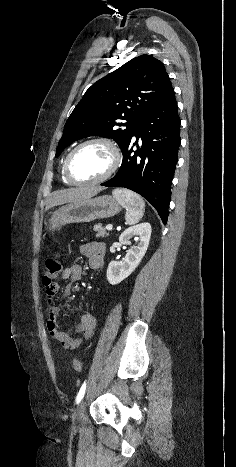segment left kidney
<instances>
[{
  "instance_id": "5707ae66",
  "label": "left kidney",
  "mask_w": 236,
  "mask_h": 467,
  "mask_svg": "<svg viewBox=\"0 0 236 467\" xmlns=\"http://www.w3.org/2000/svg\"><path fill=\"white\" fill-rule=\"evenodd\" d=\"M151 236V225L147 222L126 229L119 237L122 245H130V239L137 240V245L126 251L123 261H111L107 269V280L111 285H116L127 278L139 265L144 257Z\"/></svg>"
}]
</instances>
